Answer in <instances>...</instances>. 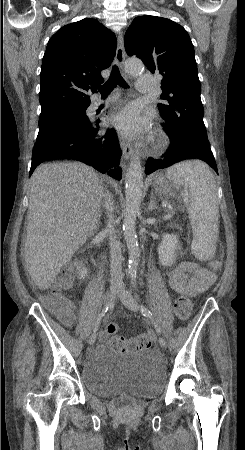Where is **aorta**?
I'll list each match as a JSON object with an SVG mask.
<instances>
[{"label": "aorta", "mask_w": 245, "mask_h": 450, "mask_svg": "<svg viewBox=\"0 0 245 450\" xmlns=\"http://www.w3.org/2000/svg\"><path fill=\"white\" fill-rule=\"evenodd\" d=\"M125 71L131 75L140 74L144 70V64L139 59L129 58L124 64ZM125 185V211L123 220V235L127 244L129 254V274L136 276L138 260L140 256L137 235L136 217L140 211L143 171L140 158L134 155L126 173Z\"/></svg>", "instance_id": "1"}]
</instances>
